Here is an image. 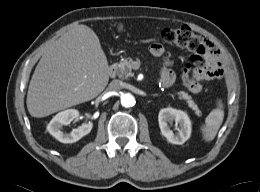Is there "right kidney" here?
Here are the masks:
<instances>
[{"instance_id": "ca27d5eb", "label": "right kidney", "mask_w": 260, "mask_h": 192, "mask_svg": "<svg viewBox=\"0 0 260 192\" xmlns=\"http://www.w3.org/2000/svg\"><path fill=\"white\" fill-rule=\"evenodd\" d=\"M79 116V111L76 109H67L59 112L47 126L48 132L62 143H74L80 140L83 136L90 133L93 124L92 122H84L81 126L73 129L70 133H63L61 128L63 125H68L72 120ZM90 115L86 114V118Z\"/></svg>"}]
</instances>
